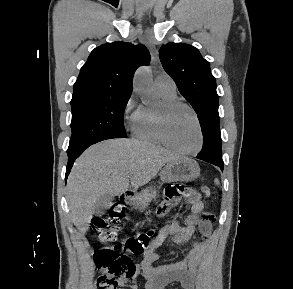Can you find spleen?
Here are the masks:
<instances>
[{"label":"spleen","mask_w":293,"mask_h":289,"mask_svg":"<svg viewBox=\"0 0 293 289\" xmlns=\"http://www.w3.org/2000/svg\"><path fill=\"white\" fill-rule=\"evenodd\" d=\"M215 184L219 185V180L215 179Z\"/></svg>","instance_id":"obj_1"}]
</instances>
